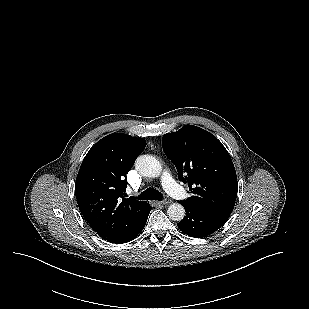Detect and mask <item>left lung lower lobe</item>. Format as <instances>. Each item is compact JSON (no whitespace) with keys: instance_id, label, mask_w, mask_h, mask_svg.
Segmentation results:
<instances>
[{"instance_id":"left-lung-lower-lobe-1","label":"left lung lower lobe","mask_w":309,"mask_h":309,"mask_svg":"<svg viewBox=\"0 0 309 309\" xmlns=\"http://www.w3.org/2000/svg\"><path fill=\"white\" fill-rule=\"evenodd\" d=\"M182 205L185 208L186 216L177 225L188 236L206 237L218 230L226 222L225 219L214 215L205 208L184 203Z\"/></svg>"}]
</instances>
